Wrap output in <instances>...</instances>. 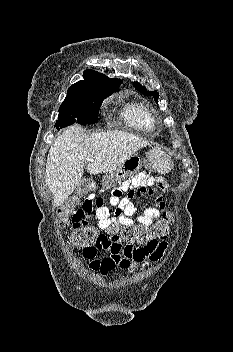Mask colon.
I'll use <instances>...</instances> for the list:
<instances>
[{
	"instance_id": "obj_1",
	"label": "colon",
	"mask_w": 233,
	"mask_h": 352,
	"mask_svg": "<svg viewBox=\"0 0 233 352\" xmlns=\"http://www.w3.org/2000/svg\"><path fill=\"white\" fill-rule=\"evenodd\" d=\"M65 222L66 218L63 216L59 224L62 226ZM172 223L173 215L169 211L164 212L162 217L155 221L150 227L131 226L119 230H111L105 234L100 233L96 227L89 225L88 222L76 229L70 236L69 241L71 245L85 249L104 242L109 235H118L121 236L127 245H148L161 239H165Z\"/></svg>"
}]
</instances>
